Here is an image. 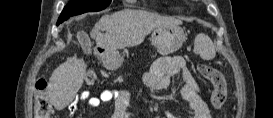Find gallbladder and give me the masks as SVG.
<instances>
[{
    "instance_id": "gallbladder-1",
    "label": "gallbladder",
    "mask_w": 273,
    "mask_h": 118,
    "mask_svg": "<svg viewBox=\"0 0 273 118\" xmlns=\"http://www.w3.org/2000/svg\"><path fill=\"white\" fill-rule=\"evenodd\" d=\"M83 51H84L85 53H90V52H91V49H90V47H89L88 45H83Z\"/></svg>"
}]
</instances>
